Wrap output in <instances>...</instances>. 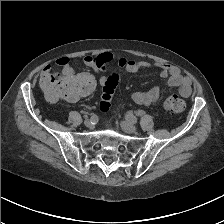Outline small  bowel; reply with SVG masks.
<instances>
[{
    "label": "small bowel",
    "mask_w": 224,
    "mask_h": 224,
    "mask_svg": "<svg viewBox=\"0 0 224 224\" xmlns=\"http://www.w3.org/2000/svg\"><path fill=\"white\" fill-rule=\"evenodd\" d=\"M83 61L87 67L91 68L99 75L101 84H103L106 80V77L102 74V71L106 69L110 62L115 61L119 67L130 73H136L140 70H147L151 68L159 69L160 76L162 78H167V84L170 87L178 88L180 95L183 97H189L192 91L190 79L182 75L177 67L167 63L138 61L122 56H115L112 53H101L96 56L88 55L84 57ZM56 64L61 66L65 71H68L69 69V59L67 57L58 58L56 60ZM50 77H52L51 67L46 66L41 73L42 84H44V82ZM160 92L161 88L159 86H154L145 91L134 92L131 98L136 104L149 106L158 100Z\"/></svg>",
    "instance_id": "c3829d8e"
}]
</instances>
